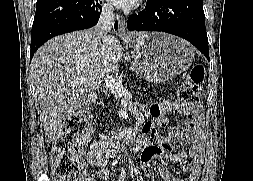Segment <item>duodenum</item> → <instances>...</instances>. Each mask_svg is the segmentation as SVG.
Listing matches in <instances>:
<instances>
[{
	"label": "duodenum",
	"mask_w": 253,
	"mask_h": 181,
	"mask_svg": "<svg viewBox=\"0 0 253 181\" xmlns=\"http://www.w3.org/2000/svg\"><path fill=\"white\" fill-rule=\"evenodd\" d=\"M117 135H120L122 137H128L129 136V134L126 131H120V132L117 133Z\"/></svg>",
	"instance_id": "1"
}]
</instances>
